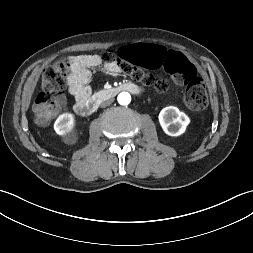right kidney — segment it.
Masks as SVG:
<instances>
[{"instance_id":"1","label":"right kidney","mask_w":253,"mask_h":253,"mask_svg":"<svg viewBox=\"0 0 253 253\" xmlns=\"http://www.w3.org/2000/svg\"><path fill=\"white\" fill-rule=\"evenodd\" d=\"M75 126L74 115L71 113H64L60 115L54 123L55 132L63 136L69 143H74L73 128Z\"/></svg>"}]
</instances>
